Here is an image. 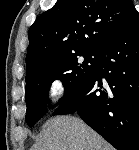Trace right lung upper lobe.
<instances>
[{"mask_svg":"<svg viewBox=\"0 0 139 150\" xmlns=\"http://www.w3.org/2000/svg\"><path fill=\"white\" fill-rule=\"evenodd\" d=\"M133 11L132 0H58L29 29L26 76L52 59L100 51Z\"/></svg>","mask_w":139,"mask_h":150,"instance_id":"1","label":"right lung upper lobe"}]
</instances>
